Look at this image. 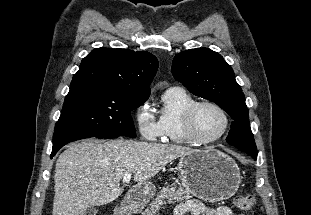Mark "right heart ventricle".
<instances>
[{
  "label": "right heart ventricle",
  "mask_w": 311,
  "mask_h": 215,
  "mask_svg": "<svg viewBox=\"0 0 311 215\" xmlns=\"http://www.w3.org/2000/svg\"><path fill=\"white\" fill-rule=\"evenodd\" d=\"M194 102L196 101L190 94L178 87L170 88L164 93L163 107L159 115L164 142L190 143L184 134L182 117L184 111Z\"/></svg>",
  "instance_id": "right-heart-ventricle-1"
}]
</instances>
